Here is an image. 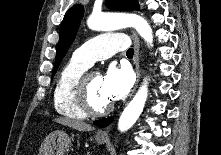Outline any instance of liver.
I'll list each match as a JSON object with an SVG mask.
<instances>
[{
  "label": "liver",
  "mask_w": 221,
  "mask_h": 155,
  "mask_svg": "<svg viewBox=\"0 0 221 155\" xmlns=\"http://www.w3.org/2000/svg\"><path fill=\"white\" fill-rule=\"evenodd\" d=\"M54 122L62 124L64 126H68L70 128H73L75 130L78 131H92L94 130V127L91 126L90 124H87L85 122L82 121H78V120H73V119H69V118H55Z\"/></svg>",
  "instance_id": "obj_1"
}]
</instances>
